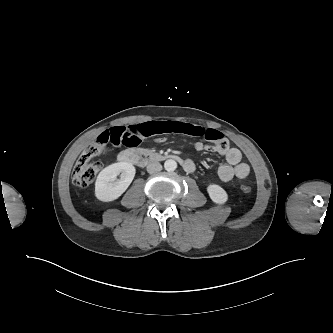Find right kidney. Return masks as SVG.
<instances>
[{
	"label": "right kidney",
	"instance_id": "right-kidney-1",
	"mask_svg": "<svg viewBox=\"0 0 333 333\" xmlns=\"http://www.w3.org/2000/svg\"><path fill=\"white\" fill-rule=\"evenodd\" d=\"M135 172V167L128 162L113 163L105 167L95 182L96 198L102 202L118 199L131 184ZM119 175L120 179H117Z\"/></svg>",
	"mask_w": 333,
	"mask_h": 333
}]
</instances>
